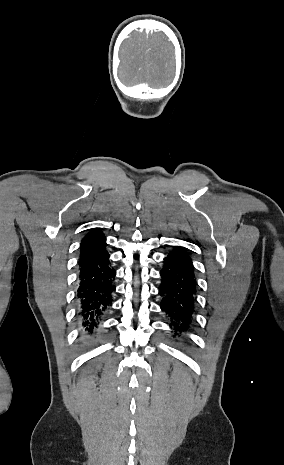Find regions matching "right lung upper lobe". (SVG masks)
<instances>
[{
  "label": "right lung upper lobe",
  "mask_w": 284,
  "mask_h": 465,
  "mask_svg": "<svg viewBox=\"0 0 284 465\" xmlns=\"http://www.w3.org/2000/svg\"><path fill=\"white\" fill-rule=\"evenodd\" d=\"M104 238L103 233L100 229H93L91 230L83 239L81 243V253L86 249L93 246L95 243L99 242Z\"/></svg>",
  "instance_id": "cb5924a9"
}]
</instances>
